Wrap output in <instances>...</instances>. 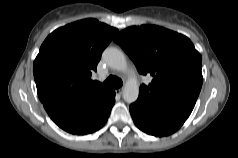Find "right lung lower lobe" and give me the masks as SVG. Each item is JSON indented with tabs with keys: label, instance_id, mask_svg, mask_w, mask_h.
<instances>
[{
	"label": "right lung lower lobe",
	"instance_id": "obj_1",
	"mask_svg": "<svg viewBox=\"0 0 238 158\" xmlns=\"http://www.w3.org/2000/svg\"><path fill=\"white\" fill-rule=\"evenodd\" d=\"M114 103L115 92L112 90L105 97L53 99L43 105L60 128L84 135L97 131L106 123Z\"/></svg>",
	"mask_w": 238,
	"mask_h": 158
}]
</instances>
